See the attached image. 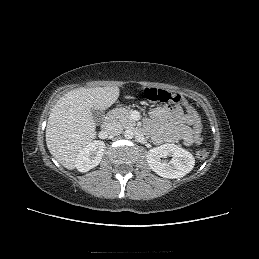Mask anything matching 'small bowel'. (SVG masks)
I'll return each mask as SVG.
<instances>
[{
    "label": "small bowel",
    "mask_w": 259,
    "mask_h": 259,
    "mask_svg": "<svg viewBox=\"0 0 259 259\" xmlns=\"http://www.w3.org/2000/svg\"><path fill=\"white\" fill-rule=\"evenodd\" d=\"M188 108L182 106L157 107L150 111L148 126L158 142H182L194 144L193 126L190 122Z\"/></svg>",
    "instance_id": "obj_1"
}]
</instances>
